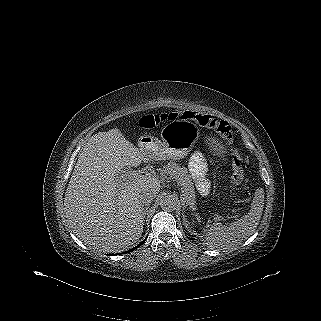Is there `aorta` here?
Returning a JSON list of instances; mask_svg holds the SVG:
<instances>
[{
    "label": "aorta",
    "instance_id": "1",
    "mask_svg": "<svg viewBox=\"0 0 321 321\" xmlns=\"http://www.w3.org/2000/svg\"><path fill=\"white\" fill-rule=\"evenodd\" d=\"M179 199L174 194H165L160 199V206L165 211H173L177 208Z\"/></svg>",
    "mask_w": 321,
    "mask_h": 321
}]
</instances>
